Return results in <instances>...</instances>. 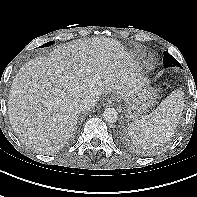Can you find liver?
I'll return each mask as SVG.
<instances>
[{
	"label": "liver",
	"mask_w": 197,
	"mask_h": 197,
	"mask_svg": "<svg viewBox=\"0 0 197 197\" xmlns=\"http://www.w3.org/2000/svg\"><path fill=\"white\" fill-rule=\"evenodd\" d=\"M143 85L133 57L119 41L79 39L19 69L8 99L10 124L26 146L54 153L72 137L84 97L115 92L126 98Z\"/></svg>",
	"instance_id": "obj_1"
}]
</instances>
